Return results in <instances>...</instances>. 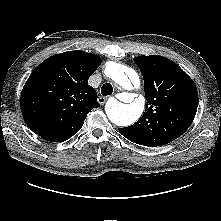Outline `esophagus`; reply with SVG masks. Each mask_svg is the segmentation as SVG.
I'll use <instances>...</instances> for the list:
<instances>
[{
  "mask_svg": "<svg viewBox=\"0 0 221 221\" xmlns=\"http://www.w3.org/2000/svg\"><path fill=\"white\" fill-rule=\"evenodd\" d=\"M107 99H108V97L100 96V97L98 98V102H99L101 105H103V104L106 102Z\"/></svg>",
  "mask_w": 221,
  "mask_h": 221,
  "instance_id": "34e87169",
  "label": "esophagus"
}]
</instances>
